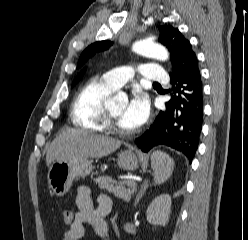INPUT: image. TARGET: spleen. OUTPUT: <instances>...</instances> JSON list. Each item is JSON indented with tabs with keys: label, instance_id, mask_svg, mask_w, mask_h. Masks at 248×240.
I'll return each instance as SVG.
<instances>
[{
	"label": "spleen",
	"instance_id": "1",
	"mask_svg": "<svg viewBox=\"0 0 248 240\" xmlns=\"http://www.w3.org/2000/svg\"><path fill=\"white\" fill-rule=\"evenodd\" d=\"M151 166L154 171L155 183L162 184L172 175L174 161L168 154L157 150L151 155Z\"/></svg>",
	"mask_w": 248,
	"mask_h": 240
}]
</instances>
